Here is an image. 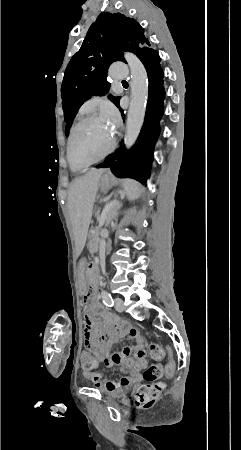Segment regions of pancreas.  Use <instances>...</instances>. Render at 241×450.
<instances>
[{"mask_svg": "<svg viewBox=\"0 0 241 450\" xmlns=\"http://www.w3.org/2000/svg\"><path fill=\"white\" fill-rule=\"evenodd\" d=\"M110 218H111V216H109V220H110ZM99 228V229H98ZM94 231L95 232H93L92 233V236L90 237V242H91V246H90V249L91 250H96V246H97V244L102 240L100 237H99V232H101L102 231V228L101 227H95L94 228Z\"/></svg>", "mask_w": 241, "mask_h": 450, "instance_id": "pancreas-1", "label": "pancreas"}]
</instances>
